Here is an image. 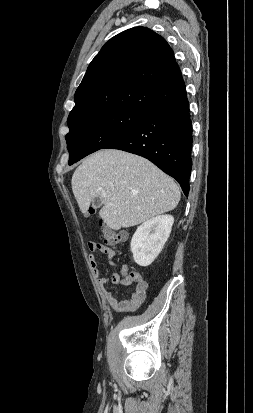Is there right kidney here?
Segmentation results:
<instances>
[{
	"mask_svg": "<svg viewBox=\"0 0 253 413\" xmlns=\"http://www.w3.org/2000/svg\"><path fill=\"white\" fill-rule=\"evenodd\" d=\"M173 223V216L160 215L137 228L131 240V252L138 265L148 266L156 259L169 238Z\"/></svg>",
	"mask_w": 253,
	"mask_h": 413,
	"instance_id": "obj_1",
	"label": "right kidney"
}]
</instances>
